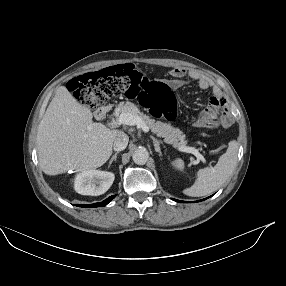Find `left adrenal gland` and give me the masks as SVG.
I'll use <instances>...</instances> for the list:
<instances>
[{"mask_svg":"<svg viewBox=\"0 0 286 286\" xmlns=\"http://www.w3.org/2000/svg\"><path fill=\"white\" fill-rule=\"evenodd\" d=\"M151 139L153 140L155 151L162 156L161 148H160V143H162L160 140H157L154 136H151Z\"/></svg>","mask_w":286,"mask_h":286,"instance_id":"1","label":"left adrenal gland"}]
</instances>
